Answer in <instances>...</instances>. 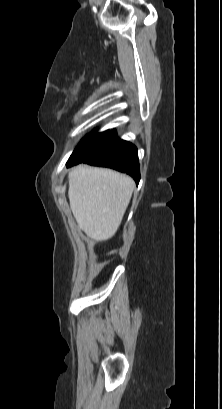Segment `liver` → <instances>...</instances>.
<instances>
[{"label":"liver","instance_id":"obj_1","mask_svg":"<svg viewBox=\"0 0 222 409\" xmlns=\"http://www.w3.org/2000/svg\"><path fill=\"white\" fill-rule=\"evenodd\" d=\"M134 188L131 177L110 169L85 165L73 168L68 197L79 228L96 241L114 236Z\"/></svg>","mask_w":222,"mask_h":409}]
</instances>
